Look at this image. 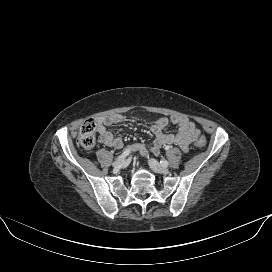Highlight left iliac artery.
<instances>
[{"label":"left iliac artery","instance_id":"1","mask_svg":"<svg viewBox=\"0 0 272 272\" xmlns=\"http://www.w3.org/2000/svg\"><path fill=\"white\" fill-rule=\"evenodd\" d=\"M160 163H161V165H163V166H168V161L167 160H165V159H162L161 161H160Z\"/></svg>","mask_w":272,"mask_h":272}]
</instances>
